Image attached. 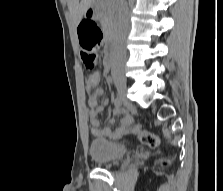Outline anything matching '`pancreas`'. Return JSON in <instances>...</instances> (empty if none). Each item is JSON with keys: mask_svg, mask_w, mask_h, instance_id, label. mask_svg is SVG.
<instances>
[{"mask_svg": "<svg viewBox=\"0 0 223 191\" xmlns=\"http://www.w3.org/2000/svg\"><path fill=\"white\" fill-rule=\"evenodd\" d=\"M101 24L104 31L109 32L114 22V9L112 5L106 1H102L98 6Z\"/></svg>", "mask_w": 223, "mask_h": 191, "instance_id": "pancreas-1", "label": "pancreas"}]
</instances>
